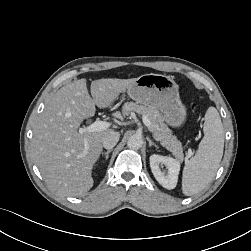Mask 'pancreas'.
<instances>
[{"mask_svg":"<svg viewBox=\"0 0 251 251\" xmlns=\"http://www.w3.org/2000/svg\"><path fill=\"white\" fill-rule=\"evenodd\" d=\"M123 114L130 115L131 112H136L141 115H146L150 122V131L156 141L170 151L179 161L183 160V150L181 142L172 135L171 130L164 123V117L154 107L138 105L134 102H127L123 106Z\"/></svg>","mask_w":251,"mask_h":251,"instance_id":"cf45deb5","label":"pancreas"}]
</instances>
